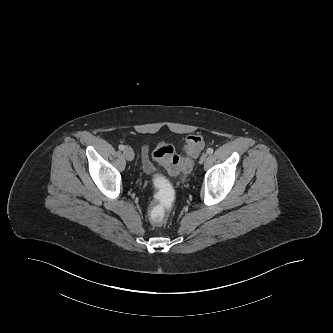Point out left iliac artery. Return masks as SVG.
Listing matches in <instances>:
<instances>
[{
    "label": "left iliac artery",
    "mask_w": 333,
    "mask_h": 333,
    "mask_svg": "<svg viewBox=\"0 0 333 333\" xmlns=\"http://www.w3.org/2000/svg\"><path fill=\"white\" fill-rule=\"evenodd\" d=\"M207 153H208V154H212V153H213V148H208V149H207Z\"/></svg>",
    "instance_id": "left-iliac-artery-1"
}]
</instances>
